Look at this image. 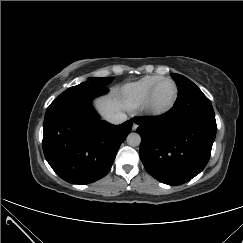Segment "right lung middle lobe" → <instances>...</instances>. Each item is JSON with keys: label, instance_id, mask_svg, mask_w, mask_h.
I'll return each instance as SVG.
<instances>
[{"label": "right lung middle lobe", "instance_id": "1", "mask_svg": "<svg viewBox=\"0 0 243 243\" xmlns=\"http://www.w3.org/2000/svg\"><path fill=\"white\" fill-rule=\"evenodd\" d=\"M113 80V77H104V78H89V82L94 83L96 85L105 86Z\"/></svg>", "mask_w": 243, "mask_h": 243}]
</instances>
